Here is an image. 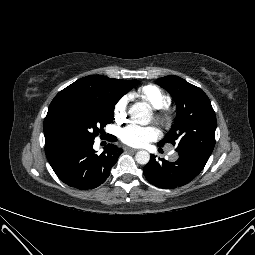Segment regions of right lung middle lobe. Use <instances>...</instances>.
Masks as SVG:
<instances>
[{"instance_id": "dd1d6c3e", "label": "right lung middle lobe", "mask_w": 255, "mask_h": 255, "mask_svg": "<svg viewBox=\"0 0 255 255\" xmlns=\"http://www.w3.org/2000/svg\"><path fill=\"white\" fill-rule=\"evenodd\" d=\"M137 83V80L124 81L122 87L111 96L88 97L70 104L59 123L63 137L94 140L98 132L113 121L114 107L118 100Z\"/></svg>"}]
</instances>
